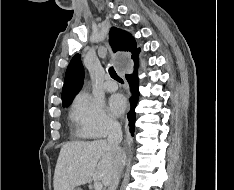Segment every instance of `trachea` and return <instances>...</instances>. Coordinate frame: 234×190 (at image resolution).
I'll return each instance as SVG.
<instances>
[{
    "label": "trachea",
    "instance_id": "1",
    "mask_svg": "<svg viewBox=\"0 0 234 190\" xmlns=\"http://www.w3.org/2000/svg\"><path fill=\"white\" fill-rule=\"evenodd\" d=\"M109 74L113 79H115L117 81H122V79L118 76V74L116 73V71L114 70L113 67L109 68Z\"/></svg>",
    "mask_w": 234,
    "mask_h": 190
}]
</instances>
